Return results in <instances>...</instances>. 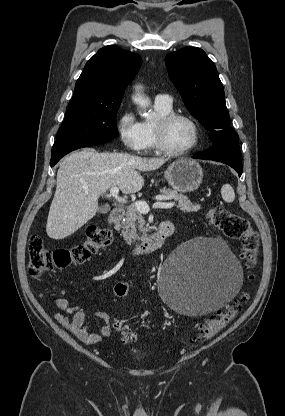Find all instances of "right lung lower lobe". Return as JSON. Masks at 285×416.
I'll return each instance as SVG.
<instances>
[{
  "label": "right lung lower lobe",
  "mask_w": 285,
  "mask_h": 416,
  "mask_svg": "<svg viewBox=\"0 0 285 416\" xmlns=\"http://www.w3.org/2000/svg\"><path fill=\"white\" fill-rule=\"evenodd\" d=\"M109 138H71L56 140L51 153V167L69 152L111 141Z\"/></svg>",
  "instance_id": "right-lung-lower-lobe-1"
}]
</instances>
